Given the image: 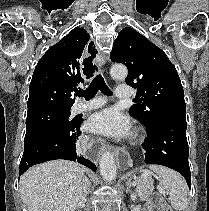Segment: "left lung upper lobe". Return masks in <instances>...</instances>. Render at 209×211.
<instances>
[{
    "mask_svg": "<svg viewBox=\"0 0 209 211\" xmlns=\"http://www.w3.org/2000/svg\"><path fill=\"white\" fill-rule=\"evenodd\" d=\"M113 62L128 68L125 81L137 88L138 103L129 114L152 129L161 120L185 117L183 87L175 66L166 54L132 28H124L113 43Z\"/></svg>",
    "mask_w": 209,
    "mask_h": 211,
    "instance_id": "left-lung-upper-lobe-1",
    "label": "left lung upper lobe"
}]
</instances>
